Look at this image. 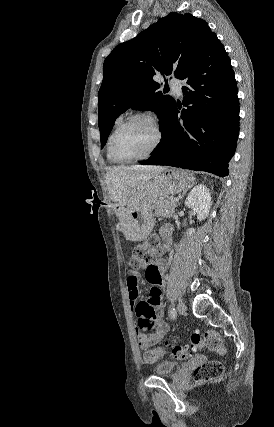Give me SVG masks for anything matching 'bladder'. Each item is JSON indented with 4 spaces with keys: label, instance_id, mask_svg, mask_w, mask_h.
I'll use <instances>...</instances> for the list:
<instances>
[{
    "label": "bladder",
    "instance_id": "31cf9c89",
    "mask_svg": "<svg viewBox=\"0 0 274 427\" xmlns=\"http://www.w3.org/2000/svg\"><path fill=\"white\" fill-rule=\"evenodd\" d=\"M178 364L175 360L170 359H160L158 360L152 368V371L156 373L157 377L161 376H173L175 374V369Z\"/></svg>",
    "mask_w": 274,
    "mask_h": 427
}]
</instances>
